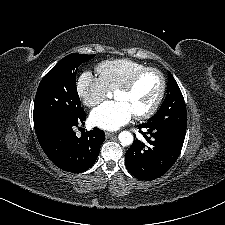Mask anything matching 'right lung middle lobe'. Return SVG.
I'll use <instances>...</instances> for the list:
<instances>
[{
	"mask_svg": "<svg viewBox=\"0 0 225 225\" xmlns=\"http://www.w3.org/2000/svg\"><path fill=\"white\" fill-rule=\"evenodd\" d=\"M94 56L69 54L43 77L34 101L36 132L55 122L67 121L83 111L76 88V74L78 67Z\"/></svg>",
	"mask_w": 225,
	"mask_h": 225,
	"instance_id": "dd1d6c3e",
	"label": "right lung middle lobe"
}]
</instances>
